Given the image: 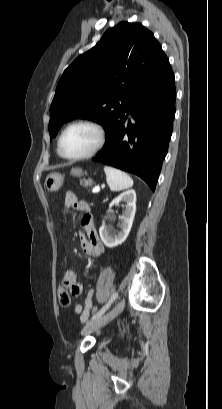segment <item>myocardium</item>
<instances>
[{"mask_svg": "<svg viewBox=\"0 0 222 409\" xmlns=\"http://www.w3.org/2000/svg\"><path fill=\"white\" fill-rule=\"evenodd\" d=\"M76 126H89L92 127L98 135V140L96 145L93 147L92 150H90L89 152L79 155V156H68L66 155L63 150H62V141L64 138V135L67 133L68 130H70L73 127ZM106 139H107V134H106V130L104 128V126L94 120H89V119H84V120H78L75 121L71 124H69L67 127H65V129L61 132L59 139H58V152L60 154V156L66 160H70V161H79V160H84V159H88L91 158L93 156H95L105 145L106 143Z\"/></svg>", "mask_w": 222, "mask_h": 409, "instance_id": "1", "label": "myocardium"}]
</instances>
